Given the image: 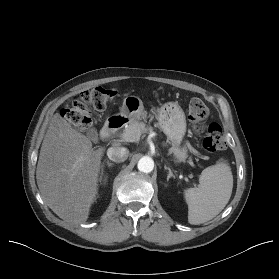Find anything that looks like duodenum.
I'll use <instances>...</instances> for the list:
<instances>
[{
  "mask_svg": "<svg viewBox=\"0 0 279 279\" xmlns=\"http://www.w3.org/2000/svg\"><path fill=\"white\" fill-rule=\"evenodd\" d=\"M123 125V120L120 117L111 118L105 126L102 128L100 135L102 138H108L112 136Z\"/></svg>",
  "mask_w": 279,
  "mask_h": 279,
  "instance_id": "410a0bca",
  "label": "duodenum"
}]
</instances>
